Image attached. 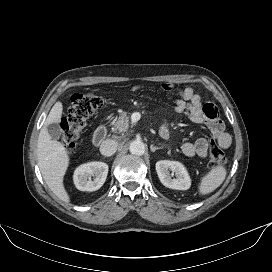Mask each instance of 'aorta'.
<instances>
[{
    "label": "aorta",
    "instance_id": "obj_1",
    "mask_svg": "<svg viewBox=\"0 0 272 272\" xmlns=\"http://www.w3.org/2000/svg\"><path fill=\"white\" fill-rule=\"evenodd\" d=\"M129 151L133 155L141 156L145 152V145L139 140L133 141L129 146Z\"/></svg>",
    "mask_w": 272,
    "mask_h": 272
}]
</instances>
